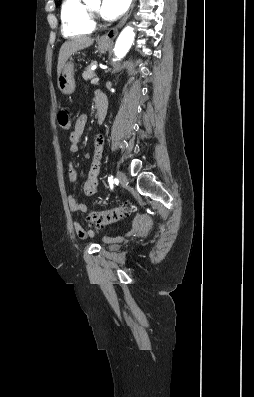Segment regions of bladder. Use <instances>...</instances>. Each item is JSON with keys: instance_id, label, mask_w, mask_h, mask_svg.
I'll use <instances>...</instances> for the list:
<instances>
[{"instance_id": "1", "label": "bladder", "mask_w": 254, "mask_h": 397, "mask_svg": "<svg viewBox=\"0 0 254 397\" xmlns=\"http://www.w3.org/2000/svg\"><path fill=\"white\" fill-rule=\"evenodd\" d=\"M107 248L110 249V250H116V249L118 248V245H116V244H109V245H107Z\"/></svg>"}]
</instances>
